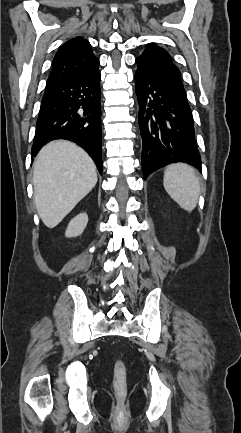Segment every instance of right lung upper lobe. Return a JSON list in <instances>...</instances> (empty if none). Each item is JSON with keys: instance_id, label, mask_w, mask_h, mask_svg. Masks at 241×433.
I'll use <instances>...</instances> for the list:
<instances>
[{"instance_id": "right-lung-upper-lobe-1", "label": "right lung upper lobe", "mask_w": 241, "mask_h": 433, "mask_svg": "<svg viewBox=\"0 0 241 433\" xmlns=\"http://www.w3.org/2000/svg\"><path fill=\"white\" fill-rule=\"evenodd\" d=\"M98 65L99 60L93 55L90 43L82 37L73 38L57 51L47 85L87 72Z\"/></svg>"}]
</instances>
